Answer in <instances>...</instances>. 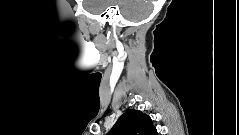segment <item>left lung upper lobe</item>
<instances>
[{
    "label": "left lung upper lobe",
    "instance_id": "1",
    "mask_svg": "<svg viewBox=\"0 0 239 135\" xmlns=\"http://www.w3.org/2000/svg\"><path fill=\"white\" fill-rule=\"evenodd\" d=\"M108 135H157V130L148 115L131 109L117 120Z\"/></svg>",
    "mask_w": 239,
    "mask_h": 135
}]
</instances>
